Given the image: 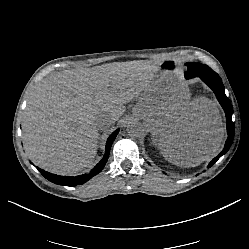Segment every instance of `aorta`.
I'll list each match as a JSON object with an SVG mask.
<instances>
[{"instance_id": "762f6f07", "label": "aorta", "mask_w": 249, "mask_h": 249, "mask_svg": "<svg viewBox=\"0 0 249 249\" xmlns=\"http://www.w3.org/2000/svg\"><path fill=\"white\" fill-rule=\"evenodd\" d=\"M144 127L137 121H131L127 124V133L130 137H140L144 135Z\"/></svg>"}]
</instances>
